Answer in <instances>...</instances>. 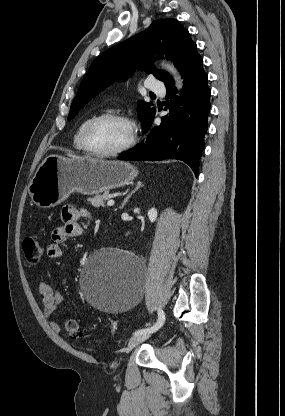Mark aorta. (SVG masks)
I'll return each mask as SVG.
<instances>
[{"instance_id":"762f6f07","label":"aorta","mask_w":285,"mask_h":416,"mask_svg":"<svg viewBox=\"0 0 285 416\" xmlns=\"http://www.w3.org/2000/svg\"><path fill=\"white\" fill-rule=\"evenodd\" d=\"M164 67L169 73H171L173 75L174 80L176 81V83H178L179 80H180V76H179V73L176 70V68L173 65H170V64H166V65H164Z\"/></svg>"}]
</instances>
